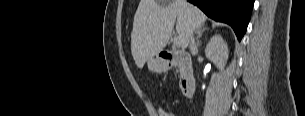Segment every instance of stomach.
<instances>
[{
  "mask_svg": "<svg viewBox=\"0 0 305 116\" xmlns=\"http://www.w3.org/2000/svg\"><path fill=\"white\" fill-rule=\"evenodd\" d=\"M147 65L150 71L159 73V72H164L167 70L168 65L158 55L156 57H153L147 61Z\"/></svg>",
  "mask_w": 305,
  "mask_h": 116,
  "instance_id": "0dacf381",
  "label": "stomach"
}]
</instances>
